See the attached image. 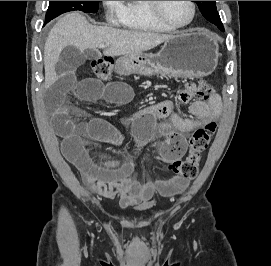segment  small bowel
Masks as SVG:
<instances>
[{
    "label": "small bowel",
    "mask_w": 271,
    "mask_h": 266,
    "mask_svg": "<svg viewBox=\"0 0 271 266\" xmlns=\"http://www.w3.org/2000/svg\"><path fill=\"white\" fill-rule=\"evenodd\" d=\"M80 63V60L68 56L48 69L50 89L46 96V107L56 133L62 138V153L80 171L84 184L105 198H118L122 208L137 204L149 205L156 191L162 195L182 192L189 180L176 176L157 181L133 179V159L104 161L90 153L85 139L119 145L122 134L115 124L102 118L75 122L70 115L67 98L77 95L87 101L103 100L110 104L124 105L131 100L133 93L131 87L123 82L103 83L93 78L79 79ZM190 100L189 97H178L181 104H187ZM221 110L222 102L217 95L208 102H192L188 108V116L177 110L171 100H165L138 111L129 119V123L138 147L155 137H161L158 144L160 160L170 162L184 155L186 135L214 123ZM163 119L167 121H162Z\"/></svg>",
    "instance_id": "small-bowel-1"
}]
</instances>
